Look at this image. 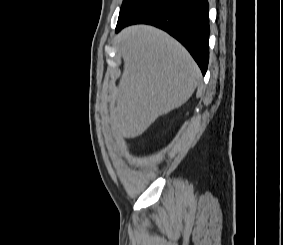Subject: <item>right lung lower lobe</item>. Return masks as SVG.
<instances>
[{"instance_id":"obj_1","label":"right lung lower lobe","mask_w":283,"mask_h":245,"mask_svg":"<svg viewBox=\"0 0 283 245\" xmlns=\"http://www.w3.org/2000/svg\"><path fill=\"white\" fill-rule=\"evenodd\" d=\"M208 8L207 0H149L117 24L116 32L136 23L159 27L188 49L205 75L209 59Z\"/></svg>"}]
</instances>
